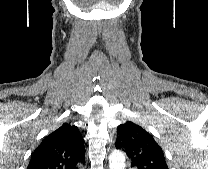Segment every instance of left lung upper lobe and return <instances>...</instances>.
<instances>
[{
    "mask_svg": "<svg viewBox=\"0 0 208 169\" xmlns=\"http://www.w3.org/2000/svg\"><path fill=\"white\" fill-rule=\"evenodd\" d=\"M116 149L126 152L137 169H168L161 147L139 125L127 121L117 127Z\"/></svg>",
    "mask_w": 208,
    "mask_h": 169,
    "instance_id": "5c2ea615",
    "label": "left lung upper lobe"
}]
</instances>
